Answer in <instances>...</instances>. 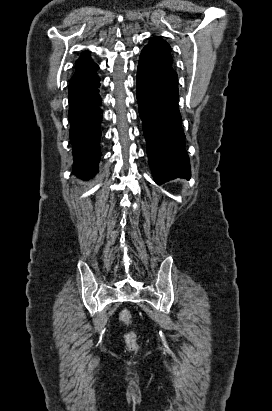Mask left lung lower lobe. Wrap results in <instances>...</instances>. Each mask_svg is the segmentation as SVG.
Segmentation results:
<instances>
[{"label":"left lung lower lobe","instance_id":"obj_1","mask_svg":"<svg viewBox=\"0 0 272 411\" xmlns=\"http://www.w3.org/2000/svg\"><path fill=\"white\" fill-rule=\"evenodd\" d=\"M137 101L154 180L189 179L190 162L179 112L178 79L172 65L153 52L141 51L137 70Z\"/></svg>","mask_w":272,"mask_h":411}]
</instances>
